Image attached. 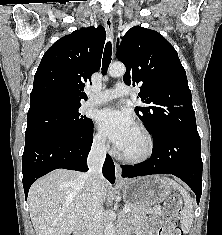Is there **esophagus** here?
<instances>
[{"mask_svg": "<svg viewBox=\"0 0 222 235\" xmlns=\"http://www.w3.org/2000/svg\"><path fill=\"white\" fill-rule=\"evenodd\" d=\"M104 24H105V29L107 32V38L110 42H112L113 41V17L111 14H107L105 16ZM114 165H115L116 181L120 182L122 181L121 167L117 162H115Z\"/></svg>", "mask_w": 222, "mask_h": 235, "instance_id": "34e87169", "label": "esophagus"}]
</instances>
